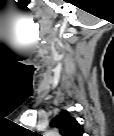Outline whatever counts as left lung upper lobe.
Listing matches in <instances>:
<instances>
[{"mask_svg":"<svg viewBox=\"0 0 114 136\" xmlns=\"http://www.w3.org/2000/svg\"><path fill=\"white\" fill-rule=\"evenodd\" d=\"M51 126L58 127L62 136H82L83 130L75 118L58 115L51 121Z\"/></svg>","mask_w":114,"mask_h":136,"instance_id":"5c2ea615","label":"left lung upper lobe"}]
</instances>
